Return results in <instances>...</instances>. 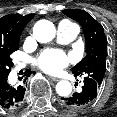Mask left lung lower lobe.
<instances>
[{
	"instance_id": "left-lung-lower-lobe-1",
	"label": "left lung lower lobe",
	"mask_w": 117,
	"mask_h": 117,
	"mask_svg": "<svg viewBox=\"0 0 117 117\" xmlns=\"http://www.w3.org/2000/svg\"><path fill=\"white\" fill-rule=\"evenodd\" d=\"M98 86L94 80L88 78L84 80L82 91L74 93L72 96L62 98V104L70 109H78L90 105L98 94Z\"/></svg>"
}]
</instances>
